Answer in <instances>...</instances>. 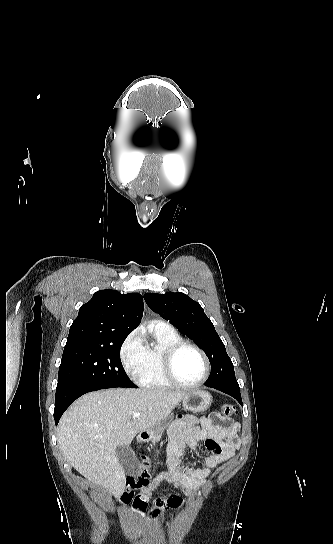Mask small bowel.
<instances>
[{"label": "small bowel", "instance_id": "small-bowel-1", "mask_svg": "<svg viewBox=\"0 0 333 544\" xmlns=\"http://www.w3.org/2000/svg\"><path fill=\"white\" fill-rule=\"evenodd\" d=\"M238 428L235 423L218 413L197 419L192 415L178 418L169 429L168 471L155 477L133 501L132 508L143 514L152 493L163 483L191 493L199 489L221 463L230 460L238 448ZM205 442L207 454L200 456L204 468H195L182 461L186 447L196 451L199 442ZM152 515L159 517L163 510L181 507L184 501L177 495L154 501Z\"/></svg>", "mask_w": 333, "mask_h": 544}]
</instances>
